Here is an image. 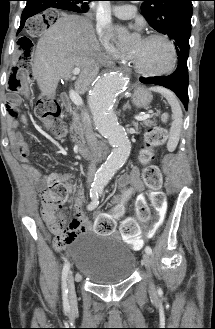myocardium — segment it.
Wrapping results in <instances>:
<instances>
[{"instance_id": "myocardium-1", "label": "myocardium", "mask_w": 215, "mask_h": 329, "mask_svg": "<svg viewBox=\"0 0 215 329\" xmlns=\"http://www.w3.org/2000/svg\"><path fill=\"white\" fill-rule=\"evenodd\" d=\"M146 39L164 40L169 45V47L171 48L172 55H173L172 63L165 70L151 72V71H147V70L143 69L139 65V63L137 62L135 57L133 55H130V62L132 64L133 68L139 74L147 76V77H161V76H165V75H168V74L172 73L176 69L177 64H178V50H177V47H176L174 41L171 38H169L168 36L163 35V34H151V35L147 36Z\"/></svg>"}]
</instances>
